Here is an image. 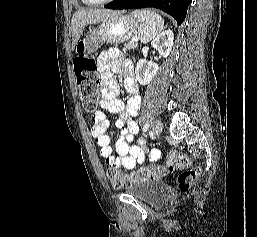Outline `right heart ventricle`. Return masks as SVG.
<instances>
[{
  "instance_id": "right-heart-ventricle-1",
  "label": "right heart ventricle",
  "mask_w": 257,
  "mask_h": 237,
  "mask_svg": "<svg viewBox=\"0 0 257 237\" xmlns=\"http://www.w3.org/2000/svg\"><path fill=\"white\" fill-rule=\"evenodd\" d=\"M81 2H82L84 5H89V3H88L86 0H81Z\"/></svg>"
}]
</instances>
